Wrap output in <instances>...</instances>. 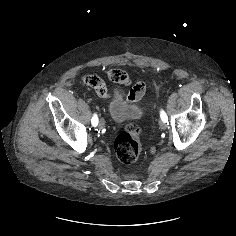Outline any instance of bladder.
Wrapping results in <instances>:
<instances>
[{
	"label": "bladder",
	"mask_w": 236,
	"mask_h": 236,
	"mask_svg": "<svg viewBox=\"0 0 236 236\" xmlns=\"http://www.w3.org/2000/svg\"><path fill=\"white\" fill-rule=\"evenodd\" d=\"M111 119L119 124L131 123L141 119L143 109L134 102H127L121 91L115 90L108 106Z\"/></svg>",
	"instance_id": "obj_1"
}]
</instances>
